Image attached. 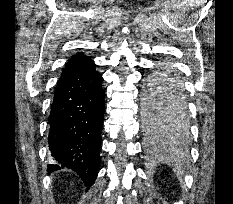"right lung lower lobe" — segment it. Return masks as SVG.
Here are the masks:
<instances>
[{
	"mask_svg": "<svg viewBox=\"0 0 233 204\" xmlns=\"http://www.w3.org/2000/svg\"><path fill=\"white\" fill-rule=\"evenodd\" d=\"M102 82L94 62L64 68L49 116L48 144L51 156L58 162L48 165L49 172L71 168L88 187L93 185L99 166L105 110Z\"/></svg>",
	"mask_w": 233,
	"mask_h": 204,
	"instance_id": "98d812e1",
	"label": "right lung lower lobe"
}]
</instances>
